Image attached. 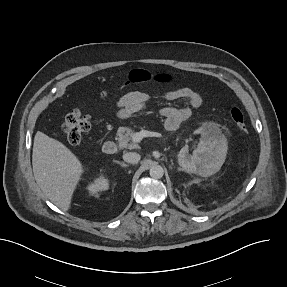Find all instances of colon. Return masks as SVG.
<instances>
[{
  "instance_id": "colon-1",
  "label": "colon",
  "mask_w": 287,
  "mask_h": 287,
  "mask_svg": "<svg viewBox=\"0 0 287 287\" xmlns=\"http://www.w3.org/2000/svg\"><path fill=\"white\" fill-rule=\"evenodd\" d=\"M150 80H154L159 83H168L171 81V77L167 74L152 75L148 71L136 69L130 73L127 84H140ZM230 117L239 130L246 131L245 118L243 112L239 108L233 107L230 110ZM89 128L90 119L80 108L74 109L69 113L62 125L63 133L65 134L68 142L72 145L79 144L83 135L89 130Z\"/></svg>"
}]
</instances>
